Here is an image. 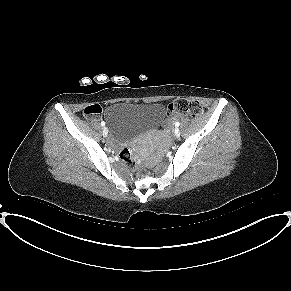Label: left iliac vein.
I'll list each match as a JSON object with an SVG mask.
<instances>
[{
    "mask_svg": "<svg viewBox=\"0 0 291 291\" xmlns=\"http://www.w3.org/2000/svg\"><path fill=\"white\" fill-rule=\"evenodd\" d=\"M174 133H175V136L176 137H179L180 136V131H179L178 128L175 129Z\"/></svg>",
    "mask_w": 291,
    "mask_h": 291,
    "instance_id": "left-iliac-vein-1",
    "label": "left iliac vein"
}]
</instances>
